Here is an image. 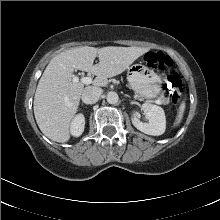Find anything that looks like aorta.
I'll list each match as a JSON object with an SVG mask.
<instances>
[{
	"instance_id": "1",
	"label": "aorta",
	"mask_w": 220,
	"mask_h": 220,
	"mask_svg": "<svg viewBox=\"0 0 220 220\" xmlns=\"http://www.w3.org/2000/svg\"><path fill=\"white\" fill-rule=\"evenodd\" d=\"M106 100L109 104H116L119 100V96L116 92L111 91L106 95Z\"/></svg>"
}]
</instances>
